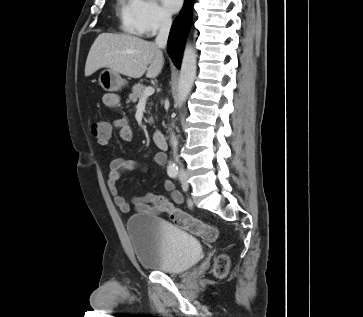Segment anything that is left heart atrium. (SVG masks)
<instances>
[{
    "instance_id": "left-heart-atrium-1",
    "label": "left heart atrium",
    "mask_w": 363,
    "mask_h": 317,
    "mask_svg": "<svg viewBox=\"0 0 363 317\" xmlns=\"http://www.w3.org/2000/svg\"><path fill=\"white\" fill-rule=\"evenodd\" d=\"M162 3L167 12L175 13L180 9L182 0H162Z\"/></svg>"
}]
</instances>
